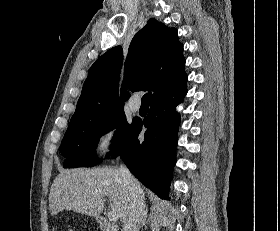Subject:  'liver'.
<instances>
[{
    "label": "liver",
    "instance_id": "1",
    "mask_svg": "<svg viewBox=\"0 0 280 231\" xmlns=\"http://www.w3.org/2000/svg\"><path fill=\"white\" fill-rule=\"evenodd\" d=\"M110 197V207L125 221L130 211V193L119 169L92 167V169H62L55 177L49 193V209L56 215L62 209H73L99 217Z\"/></svg>",
    "mask_w": 280,
    "mask_h": 231
}]
</instances>
